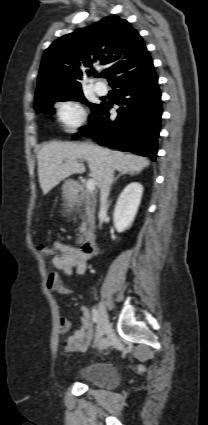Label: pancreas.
<instances>
[{
  "instance_id": "pancreas-1",
  "label": "pancreas",
  "mask_w": 208,
  "mask_h": 425,
  "mask_svg": "<svg viewBox=\"0 0 208 425\" xmlns=\"http://www.w3.org/2000/svg\"><path fill=\"white\" fill-rule=\"evenodd\" d=\"M85 202V212L87 216V220L82 222L80 226V234L78 235L79 238L77 239V243L81 244L83 242V235L87 232L88 226H93V220H94V209H95V199L91 196L90 192H86L85 196L82 198V202Z\"/></svg>"
}]
</instances>
